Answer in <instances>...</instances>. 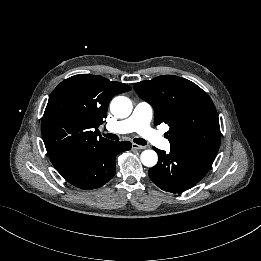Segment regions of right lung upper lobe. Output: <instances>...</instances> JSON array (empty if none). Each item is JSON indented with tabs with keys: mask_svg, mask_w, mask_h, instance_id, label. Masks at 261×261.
I'll return each instance as SVG.
<instances>
[{
	"mask_svg": "<svg viewBox=\"0 0 261 261\" xmlns=\"http://www.w3.org/2000/svg\"><path fill=\"white\" fill-rule=\"evenodd\" d=\"M131 87L99 75L81 74L61 82L50 95L41 122L48 156L57 169L76 154L113 141L96 129L106 118L113 96Z\"/></svg>",
	"mask_w": 261,
	"mask_h": 261,
	"instance_id": "1",
	"label": "right lung upper lobe"
}]
</instances>
